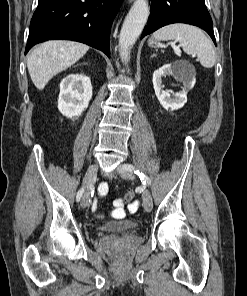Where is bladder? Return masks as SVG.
Returning <instances> with one entry per match:
<instances>
[{"label":"bladder","mask_w":247,"mask_h":296,"mask_svg":"<svg viewBox=\"0 0 247 296\" xmlns=\"http://www.w3.org/2000/svg\"><path fill=\"white\" fill-rule=\"evenodd\" d=\"M136 227V222L132 220H122L105 223L101 226V230L106 233H119L135 229Z\"/></svg>","instance_id":"bladder-1"}]
</instances>
